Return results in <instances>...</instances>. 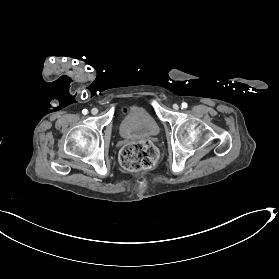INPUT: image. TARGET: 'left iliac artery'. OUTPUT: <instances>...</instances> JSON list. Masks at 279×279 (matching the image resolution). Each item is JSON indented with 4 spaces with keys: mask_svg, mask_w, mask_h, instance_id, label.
I'll use <instances>...</instances> for the list:
<instances>
[{
    "mask_svg": "<svg viewBox=\"0 0 279 279\" xmlns=\"http://www.w3.org/2000/svg\"><path fill=\"white\" fill-rule=\"evenodd\" d=\"M187 107V103H182V108H186Z\"/></svg>",
    "mask_w": 279,
    "mask_h": 279,
    "instance_id": "1",
    "label": "left iliac artery"
}]
</instances>
